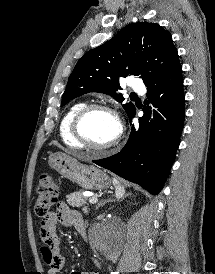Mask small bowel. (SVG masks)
Segmentation results:
<instances>
[{
  "label": "small bowel",
  "mask_w": 215,
  "mask_h": 274,
  "mask_svg": "<svg viewBox=\"0 0 215 274\" xmlns=\"http://www.w3.org/2000/svg\"><path fill=\"white\" fill-rule=\"evenodd\" d=\"M62 223L73 227L78 232L85 229V222L77 211L71 210L64 202L58 204L56 212L50 213L40 225V238L42 242L41 253L48 266L47 274H58L62 271L65 259L60 252L57 224ZM78 274H99L98 272L85 271Z\"/></svg>",
  "instance_id": "small-bowel-1"
}]
</instances>
